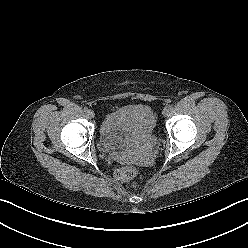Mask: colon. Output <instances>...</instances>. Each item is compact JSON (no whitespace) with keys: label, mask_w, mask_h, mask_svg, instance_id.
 <instances>
[{"label":"colon","mask_w":248,"mask_h":248,"mask_svg":"<svg viewBox=\"0 0 248 248\" xmlns=\"http://www.w3.org/2000/svg\"><path fill=\"white\" fill-rule=\"evenodd\" d=\"M138 170L134 166H125L115 171V178L120 182L133 183L137 176Z\"/></svg>","instance_id":"obj_1"}]
</instances>
